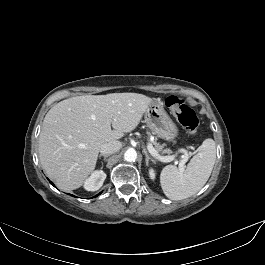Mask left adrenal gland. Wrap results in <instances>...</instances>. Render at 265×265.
<instances>
[{"mask_svg":"<svg viewBox=\"0 0 265 265\" xmlns=\"http://www.w3.org/2000/svg\"><path fill=\"white\" fill-rule=\"evenodd\" d=\"M143 152L145 154V161H146V165L147 166L149 164V160H151L153 163H155L156 160L148 154V152L146 151V149H143Z\"/></svg>","mask_w":265,"mask_h":265,"instance_id":"left-adrenal-gland-1","label":"left adrenal gland"}]
</instances>
